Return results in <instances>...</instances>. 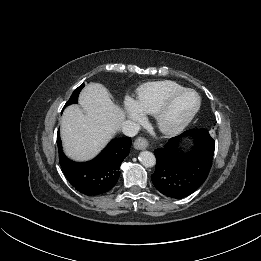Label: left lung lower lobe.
I'll use <instances>...</instances> for the list:
<instances>
[{"label": "left lung lower lobe", "instance_id": "1", "mask_svg": "<svg viewBox=\"0 0 261 261\" xmlns=\"http://www.w3.org/2000/svg\"><path fill=\"white\" fill-rule=\"evenodd\" d=\"M188 141L193 146L187 149ZM215 150V140L205 129H192L169 139L154 150L156 169L151 175L155 188L165 196L181 199L206 180Z\"/></svg>", "mask_w": 261, "mask_h": 261}]
</instances>
